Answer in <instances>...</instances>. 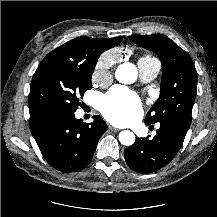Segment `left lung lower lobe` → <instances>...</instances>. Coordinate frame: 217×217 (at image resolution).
<instances>
[{
    "label": "left lung lower lobe",
    "mask_w": 217,
    "mask_h": 217,
    "mask_svg": "<svg viewBox=\"0 0 217 217\" xmlns=\"http://www.w3.org/2000/svg\"><path fill=\"white\" fill-rule=\"evenodd\" d=\"M159 124L152 140L136 138L135 143L124 150L126 163L132 170L143 174L155 172L167 165L180 150L190 126L173 119Z\"/></svg>",
    "instance_id": "0a47b994"
}]
</instances>
